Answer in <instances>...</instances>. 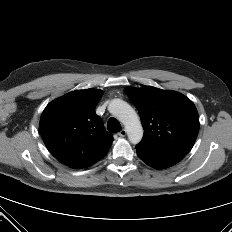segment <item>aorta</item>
<instances>
[{
    "label": "aorta",
    "mask_w": 232,
    "mask_h": 232,
    "mask_svg": "<svg viewBox=\"0 0 232 232\" xmlns=\"http://www.w3.org/2000/svg\"><path fill=\"white\" fill-rule=\"evenodd\" d=\"M108 110L124 125L129 141L138 144L143 137V127L136 111L121 99H113Z\"/></svg>",
    "instance_id": "1"
}]
</instances>
